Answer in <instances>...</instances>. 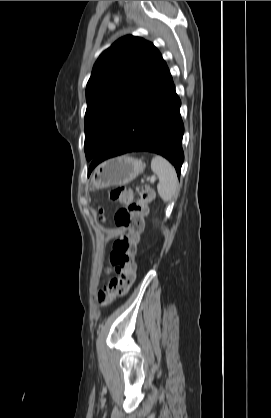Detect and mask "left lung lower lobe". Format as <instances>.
<instances>
[{"label": "left lung lower lobe", "instance_id": "1", "mask_svg": "<svg viewBox=\"0 0 271 418\" xmlns=\"http://www.w3.org/2000/svg\"><path fill=\"white\" fill-rule=\"evenodd\" d=\"M180 105L166 66L92 159L88 173L108 158L147 151L167 158L179 177L184 161Z\"/></svg>", "mask_w": 271, "mask_h": 418}]
</instances>
